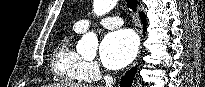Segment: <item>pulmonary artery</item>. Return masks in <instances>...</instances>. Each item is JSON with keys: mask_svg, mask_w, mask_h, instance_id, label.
Masks as SVG:
<instances>
[{"mask_svg": "<svg viewBox=\"0 0 205 87\" xmlns=\"http://www.w3.org/2000/svg\"><path fill=\"white\" fill-rule=\"evenodd\" d=\"M93 23H98L105 28H117L123 25V19L118 16H106L93 21L91 18H83L74 24V28L80 32L86 31Z\"/></svg>", "mask_w": 205, "mask_h": 87, "instance_id": "pulmonary-artery-1", "label": "pulmonary artery"}]
</instances>
